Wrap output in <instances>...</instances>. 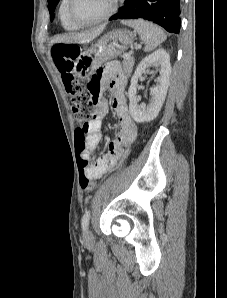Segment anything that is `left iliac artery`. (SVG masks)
Masks as SVG:
<instances>
[{
  "instance_id": "left-iliac-artery-1",
  "label": "left iliac artery",
  "mask_w": 227,
  "mask_h": 298,
  "mask_svg": "<svg viewBox=\"0 0 227 298\" xmlns=\"http://www.w3.org/2000/svg\"><path fill=\"white\" fill-rule=\"evenodd\" d=\"M90 216H91V212H90V210H88L85 212V214L82 217L81 225H82V229L84 231L87 229V227L89 225Z\"/></svg>"
}]
</instances>
